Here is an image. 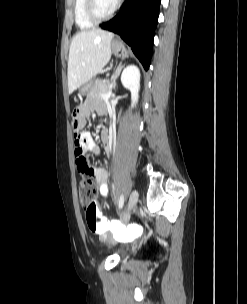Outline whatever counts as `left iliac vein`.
<instances>
[{"label": "left iliac vein", "mask_w": 247, "mask_h": 304, "mask_svg": "<svg viewBox=\"0 0 247 304\" xmlns=\"http://www.w3.org/2000/svg\"><path fill=\"white\" fill-rule=\"evenodd\" d=\"M138 197H139L138 191L137 190H133L132 193H131V195H130V198H129L127 210H126V212L124 214V217H123L124 221H128L129 220L130 213L133 210V208L136 206L137 201H138Z\"/></svg>", "instance_id": "obj_1"}]
</instances>
